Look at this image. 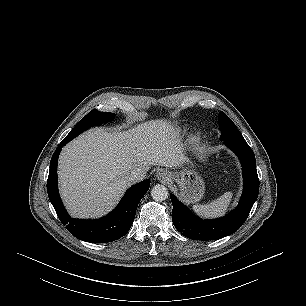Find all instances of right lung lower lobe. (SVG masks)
<instances>
[{"label":"right lung lower lobe","mask_w":306,"mask_h":306,"mask_svg":"<svg viewBox=\"0 0 306 306\" xmlns=\"http://www.w3.org/2000/svg\"><path fill=\"white\" fill-rule=\"evenodd\" d=\"M64 139L53 153L47 180L49 199L63 225L76 238L91 242L105 243L117 240L130 229L137 206L148 191L150 180H145L130 187L117 207L108 215L95 220H80L71 218L60 199L57 185V161L61 148L68 143Z\"/></svg>","instance_id":"98d812e1"}]
</instances>
